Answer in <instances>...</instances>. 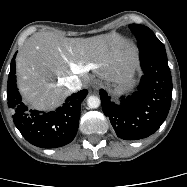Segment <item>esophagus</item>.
I'll use <instances>...</instances> for the list:
<instances>
[{"instance_id": "obj_1", "label": "esophagus", "mask_w": 187, "mask_h": 187, "mask_svg": "<svg viewBox=\"0 0 187 187\" xmlns=\"http://www.w3.org/2000/svg\"><path fill=\"white\" fill-rule=\"evenodd\" d=\"M91 85H92V88L95 90H97L103 86V84L100 80H93Z\"/></svg>"}]
</instances>
